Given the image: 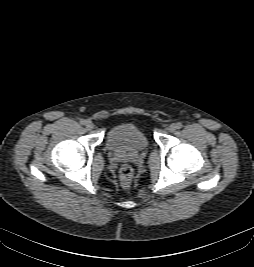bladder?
I'll return each mask as SVG.
<instances>
[{"label": "bladder", "mask_w": 254, "mask_h": 267, "mask_svg": "<svg viewBox=\"0 0 254 267\" xmlns=\"http://www.w3.org/2000/svg\"><path fill=\"white\" fill-rule=\"evenodd\" d=\"M106 146L119 153H139L148 147L145 133L133 123H121L109 129Z\"/></svg>", "instance_id": "bladder-1"}]
</instances>
